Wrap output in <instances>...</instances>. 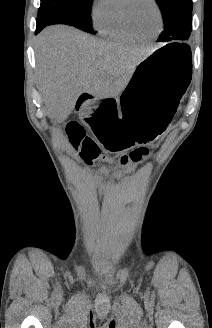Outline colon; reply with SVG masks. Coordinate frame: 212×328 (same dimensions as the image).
<instances>
[{"label":"colon","instance_id":"5ec220e1","mask_svg":"<svg viewBox=\"0 0 212 328\" xmlns=\"http://www.w3.org/2000/svg\"><path fill=\"white\" fill-rule=\"evenodd\" d=\"M64 132L73 149L78 152L81 159L86 164H92L96 161L105 160L103 146H99V140L87 134L84 126L77 122H68L64 127ZM149 150L145 147H140L133 150L131 153H119L116 156L113 154L108 158V165L98 163L97 168L100 173H107L108 170H130L134 168L131 163H137L142 160ZM118 163V164H116Z\"/></svg>","mask_w":212,"mask_h":328}]
</instances>
